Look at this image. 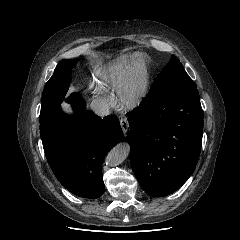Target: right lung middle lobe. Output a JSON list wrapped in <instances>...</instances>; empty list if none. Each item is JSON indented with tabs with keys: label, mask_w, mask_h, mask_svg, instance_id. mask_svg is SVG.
<instances>
[{
	"label": "right lung middle lobe",
	"mask_w": 240,
	"mask_h": 240,
	"mask_svg": "<svg viewBox=\"0 0 240 240\" xmlns=\"http://www.w3.org/2000/svg\"><path fill=\"white\" fill-rule=\"evenodd\" d=\"M79 60V58L62 60L56 66L54 74L43 90L39 122L45 121L53 111L60 107L69 89L71 70ZM66 102L69 103V98Z\"/></svg>",
	"instance_id": "1"
}]
</instances>
